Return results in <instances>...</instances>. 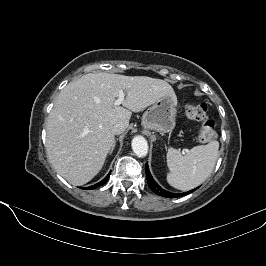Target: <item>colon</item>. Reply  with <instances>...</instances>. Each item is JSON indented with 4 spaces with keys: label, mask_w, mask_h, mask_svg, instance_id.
Segmentation results:
<instances>
[{
    "label": "colon",
    "mask_w": 266,
    "mask_h": 266,
    "mask_svg": "<svg viewBox=\"0 0 266 266\" xmlns=\"http://www.w3.org/2000/svg\"><path fill=\"white\" fill-rule=\"evenodd\" d=\"M186 116L201 123L197 130V138L202 143H208L216 137L214 123L210 119L205 103H189L185 107Z\"/></svg>",
    "instance_id": "5ec220e1"
}]
</instances>
